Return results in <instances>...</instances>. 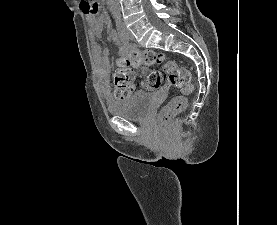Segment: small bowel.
Here are the masks:
<instances>
[{
	"label": "small bowel",
	"mask_w": 277,
	"mask_h": 225,
	"mask_svg": "<svg viewBox=\"0 0 277 225\" xmlns=\"http://www.w3.org/2000/svg\"><path fill=\"white\" fill-rule=\"evenodd\" d=\"M86 19L90 24V34L94 38L96 36H100L103 30V24H104V17H101L100 19H96L94 14H87ZM109 37L115 44H120V37L118 33L115 30L109 31ZM124 49L122 48L121 51ZM92 52L95 59V62L98 67H100V73L104 74L110 67V60H109V51L108 50H102L100 45L93 41L92 43ZM105 96L109 98L108 91L105 90Z\"/></svg>",
	"instance_id": "small-bowel-1"
}]
</instances>
